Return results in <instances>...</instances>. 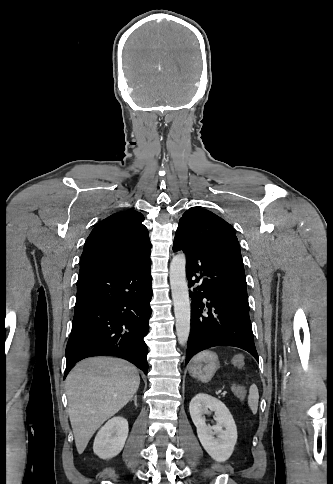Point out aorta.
<instances>
[{
	"label": "aorta",
	"mask_w": 333,
	"mask_h": 484,
	"mask_svg": "<svg viewBox=\"0 0 333 484\" xmlns=\"http://www.w3.org/2000/svg\"><path fill=\"white\" fill-rule=\"evenodd\" d=\"M186 258L177 253L170 264V285L176 318V333L180 345L187 344L190 334V302L186 281Z\"/></svg>",
	"instance_id": "obj_1"
}]
</instances>
